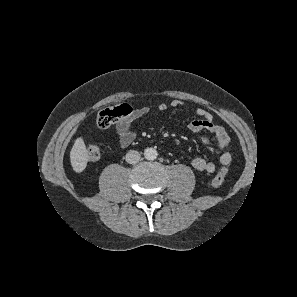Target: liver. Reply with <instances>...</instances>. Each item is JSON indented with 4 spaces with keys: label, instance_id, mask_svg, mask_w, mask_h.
<instances>
[{
    "label": "liver",
    "instance_id": "1",
    "mask_svg": "<svg viewBox=\"0 0 297 297\" xmlns=\"http://www.w3.org/2000/svg\"><path fill=\"white\" fill-rule=\"evenodd\" d=\"M89 155L82 137L75 140L70 152V160L73 170L77 173L82 172L87 165Z\"/></svg>",
    "mask_w": 297,
    "mask_h": 297
}]
</instances>
